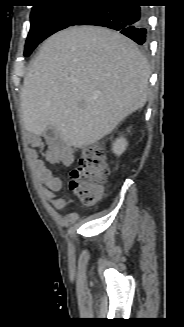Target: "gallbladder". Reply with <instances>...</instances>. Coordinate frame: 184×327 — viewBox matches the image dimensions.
Wrapping results in <instances>:
<instances>
[{
    "label": "gallbladder",
    "instance_id": "bac80fb5",
    "mask_svg": "<svg viewBox=\"0 0 184 327\" xmlns=\"http://www.w3.org/2000/svg\"><path fill=\"white\" fill-rule=\"evenodd\" d=\"M56 132H55V130L53 129V128H49L48 130H47V135H49V136H51V135H54Z\"/></svg>",
    "mask_w": 184,
    "mask_h": 327
}]
</instances>
